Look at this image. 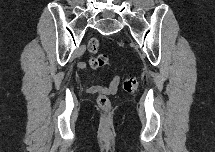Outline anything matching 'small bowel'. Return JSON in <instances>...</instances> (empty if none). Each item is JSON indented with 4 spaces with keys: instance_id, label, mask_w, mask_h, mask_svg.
Wrapping results in <instances>:
<instances>
[{
    "instance_id": "c3829d8e",
    "label": "small bowel",
    "mask_w": 215,
    "mask_h": 152,
    "mask_svg": "<svg viewBox=\"0 0 215 152\" xmlns=\"http://www.w3.org/2000/svg\"><path fill=\"white\" fill-rule=\"evenodd\" d=\"M119 82V77H114L108 86L85 84L84 89L90 94H110L118 89Z\"/></svg>"
}]
</instances>
